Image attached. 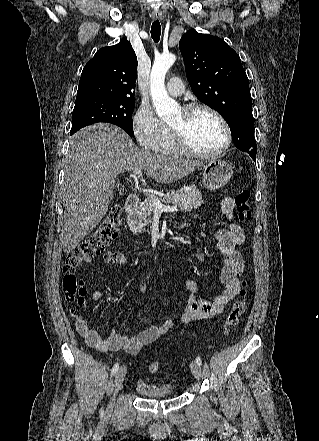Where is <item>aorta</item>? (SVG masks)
<instances>
[{
	"label": "aorta",
	"instance_id": "762f6f07",
	"mask_svg": "<svg viewBox=\"0 0 319 441\" xmlns=\"http://www.w3.org/2000/svg\"><path fill=\"white\" fill-rule=\"evenodd\" d=\"M174 54H162L154 60L150 74V94L157 115L162 120H169L178 111L177 102L169 97L165 88V75L174 64Z\"/></svg>",
	"mask_w": 319,
	"mask_h": 441
}]
</instances>
